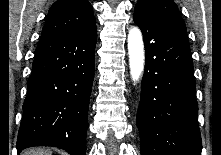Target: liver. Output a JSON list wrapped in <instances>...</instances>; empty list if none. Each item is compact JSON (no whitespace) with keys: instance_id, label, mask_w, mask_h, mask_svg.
Returning <instances> with one entry per match:
<instances>
[{"instance_id":"1","label":"liver","mask_w":221,"mask_h":155,"mask_svg":"<svg viewBox=\"0 0 221 155\" xmlns=\"http://www.w3.org/2000/svg\"><path fill=\"white\" fill-rule=\"evenodd\" d=\"M52 151L47 148H30L25 150L22 155H51Z\"/></svg>"}]
</instances>
